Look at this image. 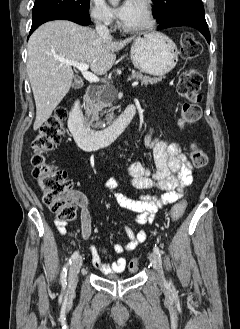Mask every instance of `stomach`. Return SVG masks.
<instances>
[{
	"label": "stomach",
	"mask_w": 240,
	"mask_h": 329,
	"mask_svg": "<svg viewBox=\"0 0 240 329\" xmlns=\"http://www.w3.org/2000/svg\"><path fill=\"white\" fill-rule=\"evenodd\" d=\"M175 43L163 33H147L135 39L131 46V61L141 72L162 76L170 72L178 61Z\"/></svg>",
	"instance_id": "1"
}]
</instances>
